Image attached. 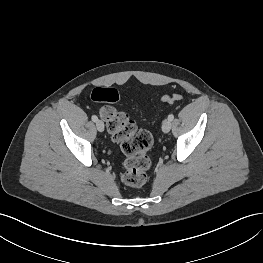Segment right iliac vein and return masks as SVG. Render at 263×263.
Segmentation results:
<instances>
[{
    "instance_id": "1",
    "label": "right iliac vein",
    "mask_w": 263,
    "mask_h": 263,
    "mask_svg": "<svg viewBox=\"0 0 263 263\" xmlns=\"http://www.w3.org/2000/svg\"><path fill=\"white\" fill-rule=\"evenodd\" d=\"M96 128L99 132L104 131V123L101 120L96 121Z\"/></svg>"
}]
</instances>
